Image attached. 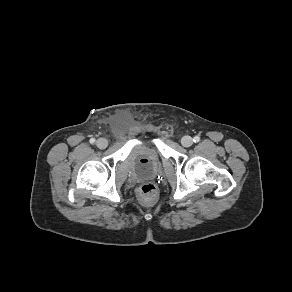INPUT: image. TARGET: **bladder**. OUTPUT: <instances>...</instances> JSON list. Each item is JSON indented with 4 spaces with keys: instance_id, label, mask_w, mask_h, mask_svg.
<instances>
[{
    "instance_id": "1",
    "label": "bladder",
    "mask_w": 292,
    "mask_h": 292,
    "mask_svg": "<svg viewBox=\"0 0 292 292\" xmlns=\"http://www.w3.org/2000/svg\"><path fill=\"white\" fill-rule=\"evenodd\" d=\"M127 163L130 173L137 179L153 177L161 166L159 154L151 144H139L132 148Z\"/></svg>"
}]
</instances>
